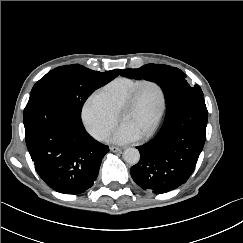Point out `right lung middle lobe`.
<instances>
[{"label":"right lung middle lobe","mask_w":243,"mask_h":243,"mask_svg":"<svg viewBox=\"0 0 243 243\" xmlns=\"http://www.w3.org/2000/svg\"><path fill=\"white\" fill-rule=\"evenodd\" d=\"M119 74V69L99 72L79 64L60 66L48 72L34 85L30 98L45 97L60 101L81 116L86 99Z\"/></svg>","instance_id":"dd1d6c3e"}]
</instances>
